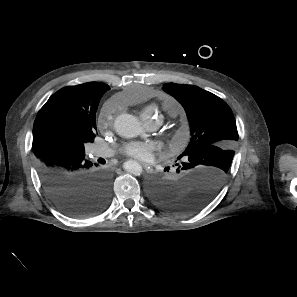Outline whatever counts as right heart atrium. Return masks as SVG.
Instances as JSON below:
<instances>
[{"mask_svg":"<svg viewBox=\"0 0 297 297\" xmlns=\"http://www.w3.org/2000/svg\"><path fill=\"white\" fill-rule=\"evenodd\" d=\"M115 105L112 101H108L104 104L101 114H100V122L102 127H109L115 117Z\"/></svg>","mask_w":297,"mask_h":297,"instance_id":"right-heart-atrium-1","label":"right heart atrium"}]
</instances>
